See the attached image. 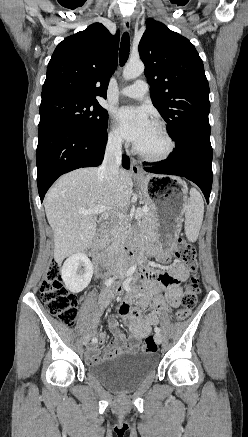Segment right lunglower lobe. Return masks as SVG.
I'll list each match as a JSON object with an SVG mask.
<instances>
[{"mask_svg": "<svg viewBox=\"0 0 248 437\" xmlns=\"http://www.w3.org/2000/svg\"><path fill=\"white\" fill-rule=\"evenodd\" d=\"M107 133L84 132L65 123L39 126L37 146V184L41 202L54 181L64 173L81 167L99 166L104 158ZM122 165L129 169V157Z\"/></svg>", "mask_w": 248, "mask_h": 437, "instance_id": "right-lung-lower-lobe-1", "label": "right lung lower lobe"}]
</instances>
